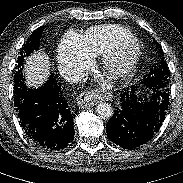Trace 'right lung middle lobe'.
<instances>
[{
	"label": "right lung middle lobe",
	"instance_id": "obj_1",
	"mask_svg": "<svg viewBox=\"0 0 183 183\" xmlns=\"http://www.w3.org/2000/svg\"><path fill=\"white\" fill-rule=\"evenodd\" d=\"M44 30V27H39L37 28L30 38L26 41V43L23 45L21 51H20V56L18 57L17 60V65H16V74L14 76V83L18 82L22 76V70H23V64L24 60L26 57L29 56L30 53H32L34 50L39 49L40 45V38L42 36V31Z\"/></svg>",
	"mask_w": 183,
	"mask_h": 183
}]
</instances>
